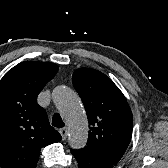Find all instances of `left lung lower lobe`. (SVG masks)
I'll return each instance as SVG.
<instances>
[{"mask_svg":"<svg viewBox=\"0 0 168 168\" xmlns=\"http://www.w3.org/2000/svg\"><path fill=\"white\" fill-rule=\"evenodd\" d=\"M78 161L79 168H112L115 164L95 156L84 148L80 150H71Z\"/></svg>","mask_w":168,"mask_h":168,"instance_id":"obj_1","label":"left lung lower lobe"}]
</instances>
